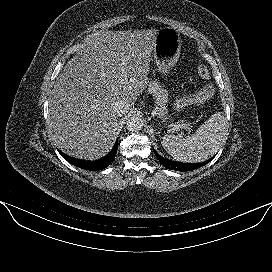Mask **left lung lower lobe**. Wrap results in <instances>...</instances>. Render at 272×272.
<instances>
[{"instance_id":"left-lung-lower-lobe-1","label":"left lung lower lobe","mask_w":272,"mask_h":272,"mask_svg":"<svg viewBox=\"0 0 272 272\" xmlns=\"http://www.w3.org/2000/svg\"><path fill=\"white\" fill-rule=\"evenodd\" d=\"M156 157L158 158V160L162 163V165L164 167H166L167 169H171V170H177V171H191V170H195L198 169L204 165H206L207 163H209L212 159L202 162V163H197V164H187V163H180V162H175V161H171L168 160L166 158L161 157L154 149H153Z\"/></svg>"}]
</instances>
